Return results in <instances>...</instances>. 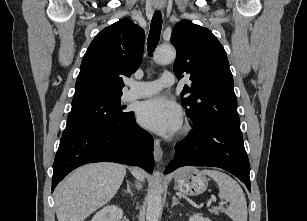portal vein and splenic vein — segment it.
I'll return each instance as SVG.
<instances>
[{
    "mask_svg": "<svg viewBox=\"0 0 307 221\" xmlns=\"http://www.w3.org/2000/svg\"><path fill=\"white\" fill-rule=\"evenodd\" d=\"M224 204H226V203H225V202H223V201H222V202H220V205H224Z\"/></svg>",
    "mask_w": 307,
    "mask_h": 221,
    "instance_id": "obj_1",
    "label": "portal vein and splenic vein"
}]
</instances>
